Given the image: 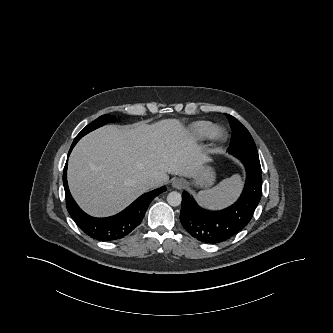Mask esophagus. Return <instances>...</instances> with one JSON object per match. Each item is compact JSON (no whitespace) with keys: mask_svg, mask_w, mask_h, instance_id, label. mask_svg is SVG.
Listing matches in <instances>:
<instances>
[{"mask_svg":"<svg viewBox=\"0 0 333 333\" xmlns=\"http://www.w3.org/2000/svg\"><path fill=\"white\" fill-rule=\"evenodd\" d=\"M185 186V181L181 178H176L172 181V187L182 189Z\"/></svg>","mask_w":333,"mask_h":333,"instance_id":"34e87169","label":"esophagus"}]
</instances>
